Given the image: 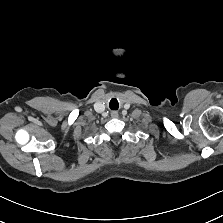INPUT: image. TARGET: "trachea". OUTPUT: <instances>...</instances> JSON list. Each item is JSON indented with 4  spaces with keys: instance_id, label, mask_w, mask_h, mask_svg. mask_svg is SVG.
I'll use <instances>...</instances> for the list:
<instances>
[{
    "instance_id": "1",
    "label": "trachea",
    "mask_w": 223,
    "mask_h": 223,
    "mask_svg": "<svg viewBox=\"0 0 223 223\" xmlns=\"http://www.w3.org/2000/svg\"><path fill=\"white\" fill-rule=\"evenodd\" d=\"M109 107H110V109H112V110H117L118 107H119V105H118V101H117L115 98H113V99L110 101Z\"/></svg>"
}]
</instances>
